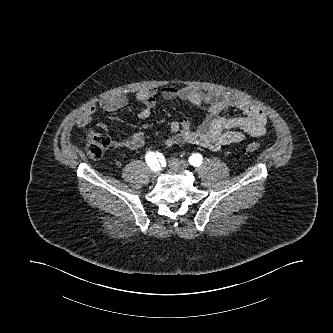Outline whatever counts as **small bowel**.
Returning <instances> with one entry per match:
<instances>
[{
  "label": "small bowel",
  "mask_w": 333,
  "mask_h": 333,
  "mask_svg": "<svg viewBox=\"0 0 333 333\" xmlns=\"http://www.w3.org/2000/svg\"><path fill=\"white\" fill-rule=\"evenodd\" d=\"M157 93L166 100L186 101L207 112L205 120L196 129L191 127L187 118L173 121L170 124L171 134L164 141L167 147L193 144L209 150H219L225 145L240 142L247 136L262 137L266 134V114L251 101L234 94L203 93L188 86L166 85L160 89L148 88L138 91L136 98L143 106L138 113L140 120L150 117L156 105ZM127 102L128 99L123 94L103 98L97 105H91L78 117L75 124L78 127H85L92 121L97 108L105 112H113L123 108ZM228 108L238 109L241 115H223ZM144 142V134L134 132L114 139L112 146L122 150H137L144 145Z\"/></svg>",
  "instance_id": "c3829d8e"
}]
</instances>
